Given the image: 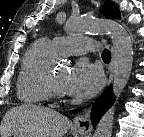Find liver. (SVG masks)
Instances as JSON below:
<instances>
[{"label": "liver", "mask_w": 144, "mask_h": 137, "mask_svg": "<svg viewBox=\"0 0 144 137\" xmlns=\"http://www.w3.org/2000/svg\"><path fill=\"white\" fill-rule=\"evenodd\" d=\"M71 121L61 113L32 104L13 107L6 112L0 125L1 137H63Z\"/></svg>", "instance_id": "1"}]
</instances>
